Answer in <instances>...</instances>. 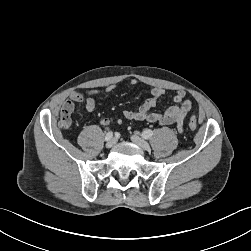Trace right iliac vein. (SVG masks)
<instances>
[{
  "label": "right iliac vein",
  "mask_w": 251,
  "mask_h": 251,
  "mask_svg": "<svg viewBox=\"0 0 251 251\" xmlns=\"http://www.w3.org/2000/svg\"><path fill=\"white\" fill-rule=\"evenodd\" d=\"M116 141L115 139H111L106 143L107 148H112L115 145Z\"/></svg>",
  "instance_id": "obj_1"
}]
</instances>
